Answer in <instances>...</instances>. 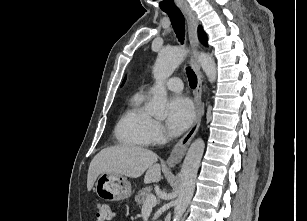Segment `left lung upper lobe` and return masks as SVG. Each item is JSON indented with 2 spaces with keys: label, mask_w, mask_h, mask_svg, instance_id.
I'll return each mask as SVG.
<instances>
[{
  "label": "left lung upper lobe",
  "mask_w": 307,
  "mask_h": 221,
  "mask_svg": "<svg viewBox=\"0 0 307 221\" xmlns=\"http://www.w3.org/2000/svg\"><path fill=\"white\" fill-rule=\"evenodd\" d=\"M200 39L203 43H206V35L202 29H200Z\"/></svg>",
  "instance_id": "1"
}]
</instances>
